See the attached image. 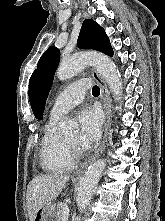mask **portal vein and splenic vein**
<instances>
[{
    "mask_svg": "<svg viewBox=\"0 0 165 221\" xmlns=\"http://www.w3.org/2000/svg\"><path fill=\"white\" fill-rule=\"evenodd\" d=\"M68 216H69V208L67 205H64L62 210V221H68Z\"/></svg>",
    "mask_w": 165,
    "mask_h": 221,
    "instance_id": "18ae733b",
    "label": "portal vein and splenic vein"
}]
</instances>
